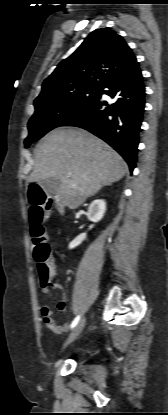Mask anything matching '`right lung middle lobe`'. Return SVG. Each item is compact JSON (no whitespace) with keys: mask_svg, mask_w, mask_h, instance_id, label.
<instances>
[{"mask_svg":"<svg viewBox=\"0 0 168 415\" xmlns=\"http://www.w3.org/2000/svg\"><path fill=\"white\" fill-rule=\"evenodd\" d=\"M101 94L100 88L83 89L35 105V113L28 123L29 135L24 141L25 147L91 107Z\"/></svg>","mask_w":168,"mask_h":415,"instance_id":"obj_1","label":"right lung middle lobe"}]
</instances>
